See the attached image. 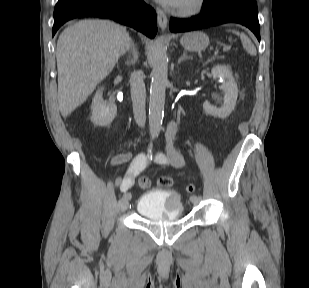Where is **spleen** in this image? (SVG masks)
Here are the masks:
<instances>
[{
    "mask_svg": "<svg viewBox=\"0 0 309 288\" xmlns=\"http://www.w3.org/2000/svg\"><path fill=\"white\" fill-rule=\"evenodd\" d=\"M234 33L240 37L243 47L246 49V51L250 55H253V56L256 55L257 53L256 49L254 45L252 44V42L250 41V39L243 33H239L237 31H234Z\"/></svg>",
    "mask_w": 309,
    "mask_h": 288,
    "instance_id": "1",
    "label": "spleen"
}]
</instances>
